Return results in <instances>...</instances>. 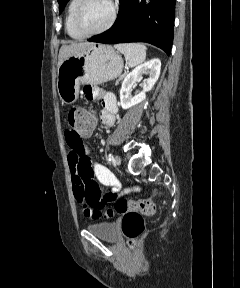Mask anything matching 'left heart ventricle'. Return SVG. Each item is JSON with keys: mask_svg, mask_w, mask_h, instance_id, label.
<instances>
[{"mask_svg": "<svg viewBox=\"0 0 240 288\" xmlns=\"http://www.w3.org/2000/svg\"><path fill=\"white\" fill-rule=\"evenodd\" d=\"M110 15V0H88L80 16V25L85 31H95L107 23Z\"/></svg>", "mask_w": 240, "mask_h": 288, "instance_id": "obj_1", "label": "left heart ventricle"}]
</instances>
